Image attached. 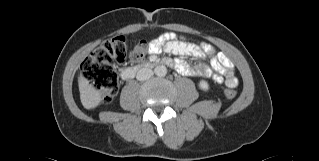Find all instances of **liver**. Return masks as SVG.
<instances>
[{"mask_svg":"<svg viewBox=\"0 0 319 161\" xmlns=\"http://www.w3.org/2000/svg\"><path fill=\"white\" fill-rule=\"evenodd\" d=\"M80 100L84 108L93 109L97 107L101 100V93L86 79L81 73L78 77Z\"/></svg>","mask_w":319,"mask_h":161,"instance_id":"obj_1","label":"liver"}]
</instances>
